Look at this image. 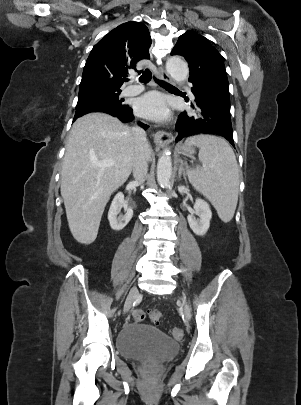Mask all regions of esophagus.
<instances>
[{
	"label": "esophagus",
	"mask_w": 301,
	"mask_h": 405,
	"mask_svg": "<svg viewBox=\"0 0 301 405\" xmlns=\"http://www.w3.org/2000/svg\"><path fill=\"white\" fill-rule=\"evenodd\" d=\"M159 75L161 79L168 83H171V78L162 68H159ZM153 138L154 142L159 146H164L165 144H169L173 141V135L165 131H157L153 135Z\"/></svg>",
	"instance_id": "obj_1"
}]
</instances>
